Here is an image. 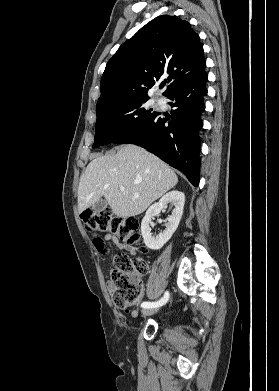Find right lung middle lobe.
I'll use <instances>...</instances> for the list:
<instances>
[{"label": "right lung middle lobe", "instance_id": "obj_1", "mask_svg": "<svg viewBox=\"0 0 279 391\" xmlns=\"http://www.w3.org/2000/svg\"><path fill=\"white\" fill-rule=\"evenodd\" d=\"M147 100L133 101L98 113L93 147L115 142L130 129L152 119L158 112L146 106Z\"/></svg>", "mask_w": 279, "mask_h": 391}]
</instances>
